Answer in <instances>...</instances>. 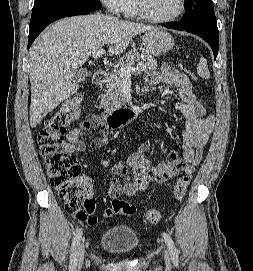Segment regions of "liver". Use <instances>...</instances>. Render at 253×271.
Returning <instances> with one entry per match:
<instances>
[{
  "label": "liver",
  "instance_id": "1",
  "mask_svg": "<svg viewBox=\"0 0 253 271\" xmlns=\"http://www.w3.org/2000/svg\"><path fill=\"white\" fill-rule=\"evenodd\" d=\"M153 26L91 14L61 19L51 24L30 49V126L41 120L79 88L73 81L77 68L93 52L111 45L109 55H118L140 33Z\"/></svg>",
  "mask_w": 253,
  "mask_h": 271
}]
</instances>
